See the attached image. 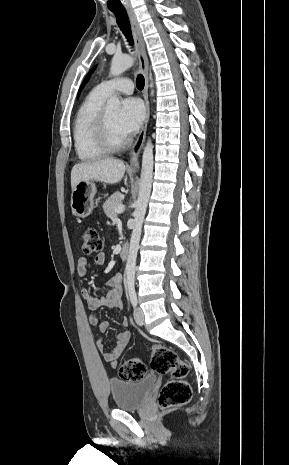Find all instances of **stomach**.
Listing matches in <instances>:
<instances>
[{
	"mask_svg": "<svg viewBox=\"0 0 289 465\" xmlns=\"http://www.w3.org/2000/svg\"><path fill=\"white\" fill-rule=\"evenodd\" d=\"M97 189L93 180H83L76 184L71 194V208L75 216L85 218L95 208Z\"/></svg>",
	"mask_w": 289,
	"mask_h": 465,
	"instance_id": "1",
	"label": "stomach"
}]
</instances>
